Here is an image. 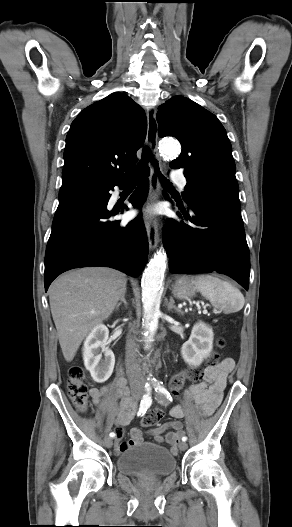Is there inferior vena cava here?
I'll return each mask as SVG.
<instances>
[{"mask_svg": "<svg viewBox=\"0 0 292 527\" xmlns=\"http://www.w3.org/2000/svg\"><path fill=\"white\" fill-rule=\"evenodd\" d=\"M136 343L135 340L130 338L126 343V373L129 378L130 386L132 388L144 385V378L136 365Z\"/></svg>", "mask_w": 292, "mask_h": 527, "instance_id": "602c4592", "label": "inferior vena cava"}]
</instances>
